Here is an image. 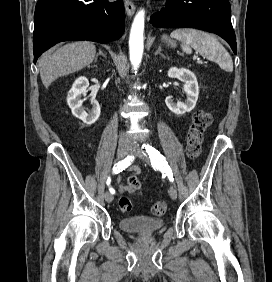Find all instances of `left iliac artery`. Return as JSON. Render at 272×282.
<instances>
[{
  "mask_svg": "<svg viewBox=\"0 0 272 282\" xmlns=\"http://www.w3.org/2000/svg\"><path fill=\"white\" fill-rule=\"evenodd\" d=\"M142 148L148 153L153 168L165 173L169 180L173 182V173L165 157L158 150L148 144H144Z\"/></svg>",
  "mask_w": 272,
  "mask_h": 282,
  "instance_id": "1",
  "label": "left iliac artery"
}]
</instances>
